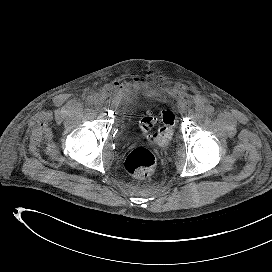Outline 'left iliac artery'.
<instances>
[{
    "instance_id": "obj_1",
    "label": "left iliac artery",
    "mask_w": 272,
    "mask_h": 272,
    "mask_svg": "<svg viewBox=\"0 0 272 272\" xmlns=\"http://www.w3.org/2000/svg\"><path fill=\"white\" fill-rule=\"evenodd\" d=\"M214 112V107L212 105H209L206 107V113L212 114Z\"/></svg>"
}]
</instances>
